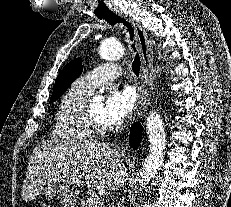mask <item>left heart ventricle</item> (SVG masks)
<instances>
[{
	"label": "left heart ventricle",
	"mask_w": 231,
	"mask_h": 207,
	"mask_svg": "<svg viewBox=\"0 0 231 207\" xmlns=\"http://www.w3.org/2000/svg\"><path fill=\"white\" fill-rule=\"evenodd\" d=\"M103 107H104V104L102 102L91 103L89 104V111L94 119L105 124L102 119Z\"/></svg>",
	"instance_id": "obj_1"
}]
</instances>
